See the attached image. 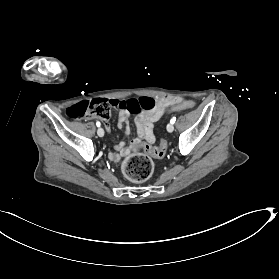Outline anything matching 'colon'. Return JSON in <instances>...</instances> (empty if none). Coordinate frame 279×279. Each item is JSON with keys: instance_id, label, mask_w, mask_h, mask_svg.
<instances>
[{"instance_id": "colon-1", "label": "colon", "mask_w": 279, "mask_h": 279, "mask_svg": "<svg viewBox=\"0 0 279 279\" xmlns=\"http://www.w3.org/2000/svg\"><path fill=\"white\" fill-rule=\"evenodd\" d=\"M156 106V100L151 97H139L128 100L93 99L83 101L69 107L66 114L73 119L94 116L107 120L112 109H120L130 113H138L143 110H152ZM195 107L193 101L179 102L171 107V110H188ZM167 151V142L161 139L156 146H137L133 153L124 158L121 169L126 178L133 182H144L153 173L152 158H162Z\"/></svg>"}]
</instances>
